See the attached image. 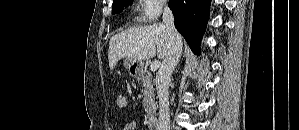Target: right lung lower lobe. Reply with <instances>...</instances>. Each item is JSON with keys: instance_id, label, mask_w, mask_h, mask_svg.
<instances>
[{"instance_id": "obj_1", "label": "right lung lower lobe", "mask_w": 299, "mask_h": 130, "mask_svg": "<svg viewBox=\"0 0 299 130\" xmlns=\"http://www.w3.org/2000/svg\"><path fill=\"white\" fill-rule=\"evenodd\" d=\"M175 27L191 50L200 55L199 45L207 26L210 0H170Z\"/></svg>"}]
</instances>
